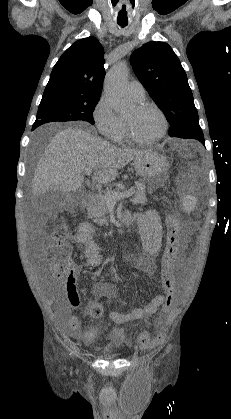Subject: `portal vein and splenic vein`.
Here are the masks:
<instances>
[{"label": "portal vein and splenic vein", "instance_id": "portal-vein-and-splenic-vein-1", "mask_svg": "<svg viewBox=\"0 0 231 419\" xmlns=\"http://www.w3.org/2000/svg\"><path fill=\"white\" fill-rule=\"evenodd\" d=\"M92 169H86L84 171V173L86 175H91L92 174ZM135 193V191L133 189H129L125 192H118V193H113V192H106L105 195L107 197V199L111 202V203H115L117 200H120L122 198H127L132 196Z\"/></svg>", "mask_w": 231, "mask_h": 419}]
</instances>
